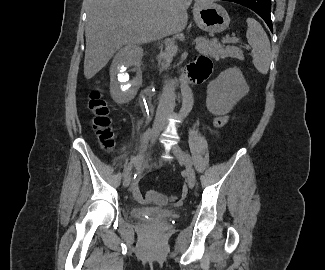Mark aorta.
Here are the masks:
<instances>
[{"instance_id": "762f6f07", "label": "aorta", "mask_w": 325, "mask_h": 270, "mask_svg": "<svg viewBox=\"0 0 325 270\" xmlns=\"http://www.w3.org/2000/svg\"><path fill=\"white\" fill-rule=\"evenodd\" d=\"M181 94H182V107L180 110L181 116H187L193 107V94L190 86L184 80L180 84Z\"/></svg>"}]
</instances>
